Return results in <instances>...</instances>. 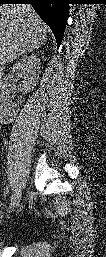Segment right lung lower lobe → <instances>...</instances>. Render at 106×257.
Here are the masks:
<instances>
[{"label":"right lung lower lobe","instance_id":"obj_1","mask_svg":"<svg viewBox=\"0 0 106 257\" xmlns=\"http://www.w3.org/2000/svg\"><path fill=\"white\" fill-rule=\"evenodd\" d=\"M1 4H31L41 19L51 28L57 47L63 38L70 0H0Z\"/></svg>","mask_w":106,"mask_h":257}]
</instances>
